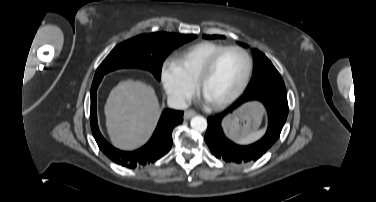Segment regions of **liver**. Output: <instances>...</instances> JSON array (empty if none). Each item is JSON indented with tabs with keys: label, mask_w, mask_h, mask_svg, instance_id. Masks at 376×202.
<instances>
[{
	"label": "liver",
	"mask_w": 376,
	"mask_h": 202,
	"mask_svg": "<svg viewBox=\"0 0 376 202\" xmlns=\"http://www.w3.org/2000/svg\"><path fill=\"white\" fill-rule=\"evenodd\" d=\"M160 112L154 89L141 81H121L105 105L106 127L112 144L121 150L141 147L153 133Z\"/></svg>",
	"instance_id": "6515ba94"
}]
</instances>
